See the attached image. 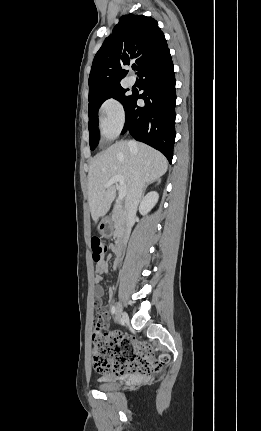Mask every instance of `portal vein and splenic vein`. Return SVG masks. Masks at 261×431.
Wrapping results in <instances>:
<instances>
[{
  "label": "portal vein and splenic vein",
  "instance_id": "obj_1",
  "mask_svg": "<svg viewBox=\"0 0 261 431\" xmlns=\"http://www.w3.org/2000/svg\"><path fill=\"white\" fill-rule=\"evenodd\" d=\"M117 182H119V187H118V191H119V200H122L125 196H126V193H127V190H126V186H125V184H124V178H123V176H120V175H115V176H113L105 185H104V187L105 188H108V187H110L111 185H113L114 183H117Z\"/></svg>",
  "mask_w": 261,
  "mask_h": 431
}]
</instances>
